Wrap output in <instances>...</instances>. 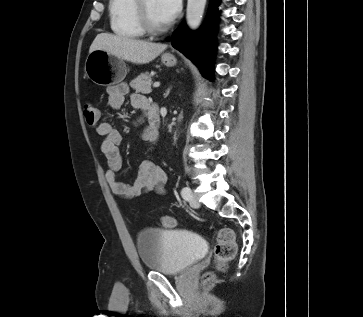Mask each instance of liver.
<instances>
[{"instance_id": "obj_1", "label": "liver", "mask_w": 363, "mask_h": 317, "mask_svg": "<svg viewBox=\"0 0 363 317\" xmlns=\"http://www.w3.org/2000/svg\"><path fill=\"white\" fill-rule=\"evenodd\" d=\"M167 48L166 44L100 33L90 46L89 53L104 50L135 64H146L154 60Z\"/></svg>"}]
</instances>
